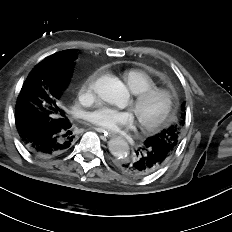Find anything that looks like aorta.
<instances>
[{
  "instance_id": "obj_1",
  "label": "aorta",
  "mask_w": 232,
  "mask_h": 232,
  "mask_svg": "<svg viewBox=\"0 0 232 232\" xmlns=\"http://www.w3.org/2000/svg\"><path fill=\"white\" fill-rule=\"evenodd\" d=\"M96 92L105 102L124 108L129 100V92L124 84L114 76H103L96 81ZM109 151L118 158L127 157L129 145L121 137L108 142Z\"/></svg>"
}]
</instances>
